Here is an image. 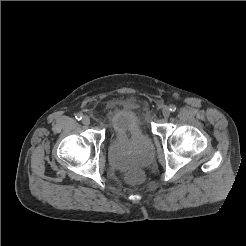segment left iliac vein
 <instances>
[{
  "label": "left iliac vein",
  "mask_w": 246,
  "mask_h": 246,
  "mask_svg": "<svg viewBox=\"0 0 246 246\" xmlns=\"http://www.w3.org/2000/svg\"><path fill=\"white\" fill-rule=\"evenodd\" d=\"M162 114L165 118H168L170 116V110L168 107L163 108Z\"/></svg>",
  "instance_id": "left-iliac-vein-1"
}]
</instances>
